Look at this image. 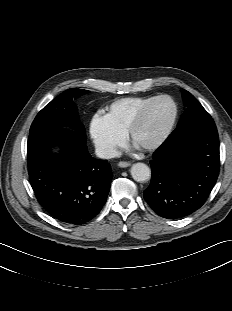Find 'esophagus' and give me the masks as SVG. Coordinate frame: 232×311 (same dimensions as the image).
I'll use <instances>...</instances> for the list:
<instances>
[{
	"instance_id": "34e87169",
	"label": "esophagus",
	"mask_w": 232,
	"mask_h": 311,
	"mask_svg": "<svg viewBox=\"0 0 232 311\" xmlns=\"http://www.w3.org/2000/svg\"><path fill=\"white\" fill-rule=\"evenodd\" d=\"M131 165V163L129 162H124V161H121L118 163V166L121 167V168H126V167H129Z\"/></svg>"
}]
</instances>
